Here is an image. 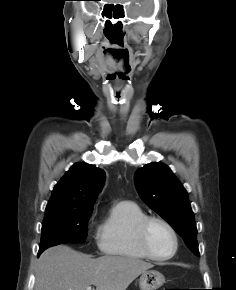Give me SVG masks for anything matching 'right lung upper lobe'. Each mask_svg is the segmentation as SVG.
<instances>
[{
    "mask_svg": "<svg viewBox=\"0 0 236 290\" xmlns=\"http://www.w3.org/2000/svg\"><path fill=\"white\" fill-rule=\"evenodd\" d=\"M104 181V170L75 163L55 185L45 213L91 211Z\"/></svg>",
    "mask_w": 236,
    "mask_h": 290,
    "instance_id": "cb5924a9",
    "label": "right lung upper lobe"
}]
</instances>
